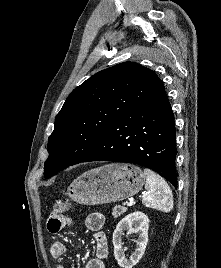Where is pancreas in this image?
Segmentation results:
<instances>
[{"label": "pancreas", "mask_w": 221, "mask_h": 268, "mask_svg": "<svg viewBox=\"0 0 221 268\" xmlns=\"http://www.w3.org/2000/svg\"><path fill=\"white\" fill-rule=\"evenodd\" d=\"M126 211H127V208L117 205L112 209V216L114 218H117L121 216L122 214H124Z\"/></svg>", "instance_id": "pancreas-1"}]
</instances>
